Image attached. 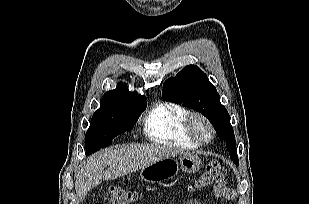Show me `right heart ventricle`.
Listing matches in <instances>:
<instances>
[{"instance_id":"right-heart-ventricle-1","label":"right heart ventricle","mask_w":309,"mask_h":204,"mask_svg":"<svg viewBox=\"0 0 309 204\" xmlns=\"http://www.w3.org/2000/svg\"><path fill=\"white\" fill-rule=\"evenodd\" d=\"M189 111L174 102H160L154 105L145 115L143 130L146 137L157 144L197 148L185 131V119Z\"/></svg>"}]
</instances>
